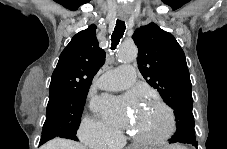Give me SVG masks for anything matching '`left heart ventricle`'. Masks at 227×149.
<instances>
[{"mask_svg": "<svg viewBox=\"0 0 227 149\" xmlns=\"http://www.w3.org/2000/svg\"><path fill=\"white\" fill-rule=\"evenodd\" d=\"M167 126L165 111L160 106L147 101L137 109L131 130L138 136L152 137L164 133Z\"/></svg>", "mask_w": 227, "mask_h": 149, "instance_id": "left-heart-ventricle-1", "label": "left heart ventricle"}]
</instances>
